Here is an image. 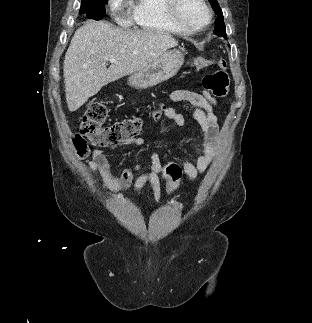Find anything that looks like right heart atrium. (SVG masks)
<instances>
[{
  "label": "right heart atrium",
  "mask_w": 312,
  "mask_h": 323,
  "mask_svg": "<svg viewBox=\"0 0 312 323\" xmlns=\"http://www.w3.org/2000/svg\"><path fill=\"white\" fill-rule=\"evenodd\" d=\"M106 5H117L118 0H105Z\"/></svg>",
  "instance_id": "obj_1"
}]
</instances>
